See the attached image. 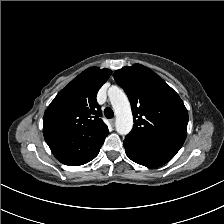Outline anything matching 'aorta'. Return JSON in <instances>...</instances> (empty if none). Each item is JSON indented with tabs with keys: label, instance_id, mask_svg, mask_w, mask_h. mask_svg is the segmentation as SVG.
I'll return each mask as SVG.
<instances>
[{
	"label": "aorta",
	"instance_id": "762f6f07",
	"mask_svg": "<svg viewBox=\"0 0 224 224\" xmlns=\"http://www.w3.org/2000/svg\"><path fill=\"white\" fill-rule=\"evenodd\" d=\"M108 96L116 115V131L120 135H127L133 127V116L128 97L117 86L109 88Z\"/></svg>",
	"mask_w": 224,
	"mask_h": 224
}]
</instances>
